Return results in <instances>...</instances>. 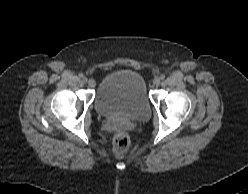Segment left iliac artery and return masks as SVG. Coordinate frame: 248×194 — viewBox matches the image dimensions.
I'll return each mask as SVG.
<instances>
[{
	"label": "left iliac artery",
	"instance_id": "1",
	"mask_svg": "<svg viewBox=\"0 0 248 194\" xmlns=\"http://www.w3.org/2000/svg\"><path fill=\"white\" fill-rule=\"evenodd\" d=\"M160 78H161L162 80L165 79V75L162 74V75L160 76Z\"/></svg>",
	"mask_w": 248,
	"mask_h": 194
}]
</instances>
